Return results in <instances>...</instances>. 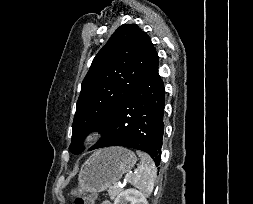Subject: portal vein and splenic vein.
I'll return each mask as SVG.
<instances>
[{"label":"portal vein and splenic vein","instance_id":"obj_1","mask_svg":"<svg viewBox=\"0 0 253 204\" xmlns=\"http://www.w3.org/2000/svg\"><path fill=\"white\" fill-rule=\"evenodd\" d=\"M114 185H115L116 187H119V184H118V182H116Z\"/></svg>","mask_w":253,"mask_h":204}]
</instances>
